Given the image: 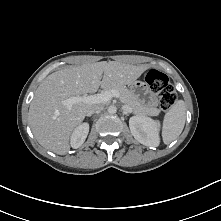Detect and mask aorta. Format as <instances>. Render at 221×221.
I'll list each match as a JSON object with an SVG mask.
<instances>
[{
	"instance_id": "1",
	"label": "aorta",
	"mask_w": 221,
	"mask_h": 221,
	"mask_svg": "<svg viewBox=\"0 0 221 221\" xmlns=\"http://www.w3.org/2000/svg\"><path fill=\"white\" fill-rule=\"evenodd\" d=\"M109 114H115L117 112V108L115 106L108 107Z\"/></svg>"
}]
</instances>
